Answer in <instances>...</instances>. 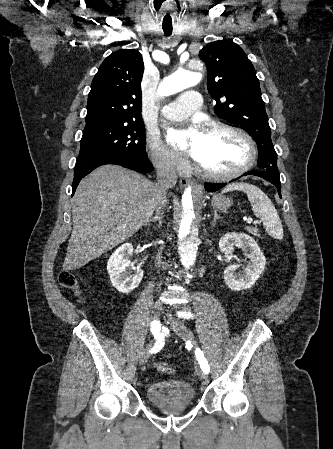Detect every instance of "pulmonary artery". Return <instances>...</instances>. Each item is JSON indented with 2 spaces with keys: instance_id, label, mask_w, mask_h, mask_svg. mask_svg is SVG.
I'll return each instance as SVG.
<instances>
[{
  "instance_id": "obj_1",
  "label": "pulmonary artery",
  "mask_w": 333,
  "mask_h": 449,
  "mask_svg": "<svg viewBox=\"0 0 333 449\" xmlns=\"http://www.w3.org/2000/svg\"><path fill=\"white\" fill-rule=\"evenodd\" d=\"M201 95L195 90L182 93L176 100L162 107V115L168 120L179 121L186 118L201 105Z\"/></svg>"
}]
</instances>
